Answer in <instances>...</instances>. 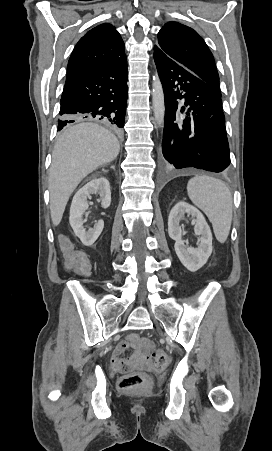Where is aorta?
I'll list each match as a JSON object with an SVG mask.
<instances>
[{
    "instance_id": "762f6f07",
    "label": "aorta",
    "mask_w": 272,
    "mask_h": 451,
    "mask_svg": "<svg viewBox=\"0 0 272 451\" xmlns=\"http://www.w3.org/2000/svg\"><path fill=\"white\" fill-rule=\"evenodd\" d=\"M152 106L154 118L157 122L158 128H163L165 116V98L163 86L160 82L159 76H153L152 82Z\"/></svg>"
}]
</instances>
